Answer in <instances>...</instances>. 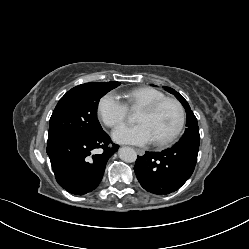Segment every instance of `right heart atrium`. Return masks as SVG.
Here are the masks:
<instances>
[{
    "label": "right heart atrium",
    "mask_w": 249,
    "mask_h": 249,
    "mask_svg": "<svg viewBox=\"0 0 249 249\" xmlns=\"http://www.w3.org/2000/svg\"><path fill=\"white\" fill-rule=\"evenodd\" d=\"M97 113L106 126L115 128L125 122L128 108L115 93L109 92L99 100Z\"/></svg>",
    "instance_id": "right-heart-atrium-1"
}]
</instances>
